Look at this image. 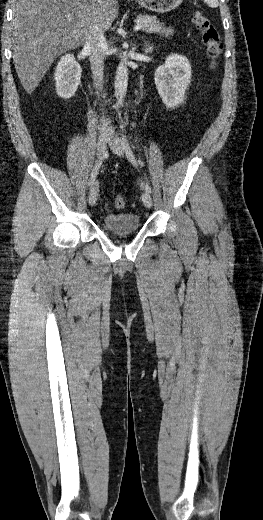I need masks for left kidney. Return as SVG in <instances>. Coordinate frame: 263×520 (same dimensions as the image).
<instances>
[{
  "label": "left kidney",
  "mask_w": 263,
  "mask_h": 520,
  "mask_svg": "<svg viewBox=\"0 0 263 520\" xmlns=\"http://www.w3.org/2000/svg\"><path fill=\"white\" fill-rule=\"evenodd\" d=\"M191 73L188 59L178 54L168 56L165 64L156 69L155 84L166 107L176 108L184 102Z\"/></svg>",
  "instance_id": "1"
}]
</instances>
